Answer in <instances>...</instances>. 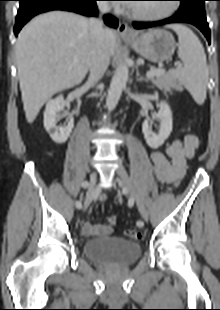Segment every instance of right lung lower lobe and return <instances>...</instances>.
Instances as JSON below:
<instances>
[{
    "mask_svg": "<svg viewBox=\"0 0 220 310\" xmlns=\"http://www.w3.org/2000/svg\"><path fill=\"white\" fill-rule=\"evenodd\" d=\"M20 7L15 21L14 33L17 36L21 28L37 14L51 10H66L85 16H97V0H18ZM108 26L116 28L118 20L111 16H104Z\"/></svg>",
    "mask_w": 220,
    "mask_h": 310,
    "instance_id": "obj_1",
    "label": "right lung lower lobe"
}]
</instances>
